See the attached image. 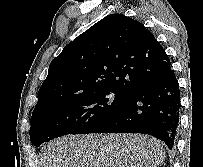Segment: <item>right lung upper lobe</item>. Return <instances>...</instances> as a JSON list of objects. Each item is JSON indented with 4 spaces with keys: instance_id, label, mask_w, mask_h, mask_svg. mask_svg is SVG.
<instances>
[{
    "instance_id": "right-lung-upper-lobe-1",
    "label": "right lung upper lobe",
    "mask_w": 203,
    "mask_h": 167,
    "mask_svg": "<svg viewBox=\"0 0 203 167\" xmlns=\"http://www.w3.org/2000/svg\"><path fill=\"white\" fill-rule=\"evenodd\" d=\"M171 69L154 35L140 22L111 14L66 45L49 66L34 111L100 91L129 94Z\"/></svg>"
}]
</instances>
